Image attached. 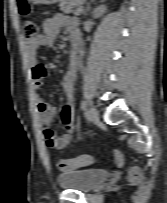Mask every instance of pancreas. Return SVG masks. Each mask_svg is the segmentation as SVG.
Returning <instances> with one entry per match:
<instances>
[{
    "mask_svg": "<svg viewBox=\"0 0 167 203\" xmlns=\"http://www.w3.org/2000/svg\"><path fill=\"white\" fill-rule=\"evenodd\" d=\"M84 2L85 0H61L59 7L63 13L76 15L78 12L83 11Z\"/></svg>",
    "mask_w": 167,
    "mask_h": 203,
    "instance_id": "1",
    "label": "pancreas"
}]
</instances>
